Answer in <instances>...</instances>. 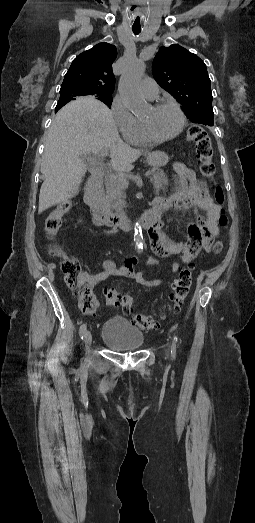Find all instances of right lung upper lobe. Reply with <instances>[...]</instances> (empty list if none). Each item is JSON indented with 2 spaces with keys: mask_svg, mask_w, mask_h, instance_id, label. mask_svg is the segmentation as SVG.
<instances>
[{
  "mask_svg": "<svg viewBox=\"0 0 255 523\" xmlns=\"http://www.w3.org/2000/svg\"><path fill=\"white\" fill-rule=\"evenodd\" d=\"M117 57V49L108 43H99L78 55L66 73L60 92L76 96H106L114 91L115 77L112 63ZM68 101H58L57 112Z\"/></svg>",
  "mask_w": 255,
  "mask_h": 523,
  "instance_id": "right-lung-upper-lobe-1",
  "label": "right lung upper lobe"
}]
</instances>
